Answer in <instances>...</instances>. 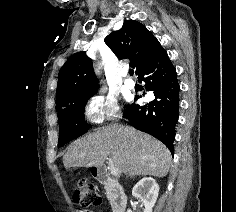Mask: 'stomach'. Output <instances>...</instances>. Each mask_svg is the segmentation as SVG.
<instances>
[{
	"instance_id": "stomach-1",
	"label": "stomach",
	"mask_w": 236,
	"mask_h": 212,
	"mask_svg": "<svg viewBox=\"0 0 236 212\" xmlns=\"http://www.w3.org/2000/svg\"><path fill=\"white\" fill-rule=\"evenodd\" d=\"M93 175L96 176L97 175V169L93 170Z\"/></svg>"
}]
</instances>
